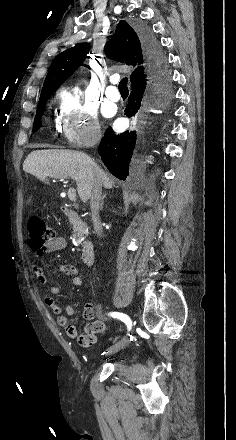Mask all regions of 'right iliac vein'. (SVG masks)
I'll use <instances>...</instances> for the list:
<instances>
[{"instance_id": "63e3f726", "label": "right iliac vein", "mask_w": 236, "mask_h": 440, "mask_svg": "<svg viewBox=\"0 0 236 440\" xmlns=\"http://www.w3.org/2000/svg\"><path fill=\"white\" fill-rule=\"evenodd\" d=\"M126 339H123L121 341H119L118 343H116L115 345H113L109 350L108 353L109 354H114L116 352H118L121 348L124 347V345L126 344Z\"/></svg>"}]
</instances>
